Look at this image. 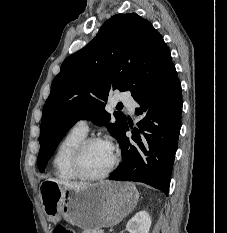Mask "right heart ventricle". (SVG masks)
I'll use <instances>...</instances> for the list:
<instances>
[{
	"label": "right heart ventricle",
	"mask_w": 227,
	"mask_h": 233,
	"mask_svg": "<svg viewBox=\"0 0 227 233\" xmlns=\"http://www.w3.org/2000/svg\"><path fill=\"white\" fill-rule=\"evenodd\" d=\"M84 138L86 133L72 128L59 143L53 158V167L58 178L66 181L77 179L71 168V157L76 146Z\"/></svg>",
	"instance_id": "1"
}]
</instances>
